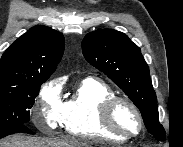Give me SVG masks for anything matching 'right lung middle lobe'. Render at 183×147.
<instances>
[{"mask_svg":"<svg viewBox=\"0 0 183 147\" xmlns=\"http://www.w3.org/2000/svg\"><path fill=\"white\" fill-rule=\"evenodd\" d=\"M46 79H36L24 84L0 85V133L5 129L26 125L30 109Z\"/></svg>","mask_w":183,"mask_h":147,"instance_id":"dd1d6c3e","label":"right lung middle lobe"}]
</instances>
